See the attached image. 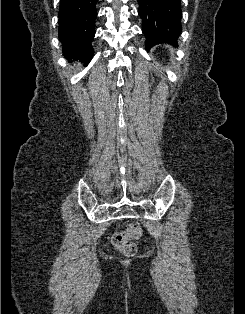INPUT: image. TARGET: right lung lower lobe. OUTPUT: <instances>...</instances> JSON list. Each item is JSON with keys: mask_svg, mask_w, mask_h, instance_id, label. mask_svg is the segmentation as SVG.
<instances>
[{"mask_svg": "<svg viewBox=\"0 0 245 314\" xmlns=\"http://www.w3.org/2000/svg\"><path fill=\"white\" fill-rule=\"evenodd\" d=\"M98 0H60L59 39L63 53L81 61L93 57L91 42L95 35Z\"/></svg>", "mask_w": 245, "mask_h": 314, "instance_id": "right-lung-lower-lobe-1", "label": "right lung lower lobe"}]
</instances>
